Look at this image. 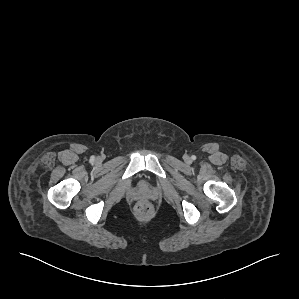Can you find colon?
I'll use <instances>...</instances> for the list:
<instances>
[{
  "mask_svg": "<svg viewBox=\"0 0 299 299\" xmlns=\"http://www.w3.org/2000/svg\"><path fill=\"white\" fill-rule=\"evenodd\" d=\"M135 212L142 218L149 217L153 212L152 204L147 200H140L135 205Z\"/></svg>",
  "mask_w": 299,
  "mask_h": 299,
  "instance_id": "colon-1",
  "label": "colon"
}]
</instances>
